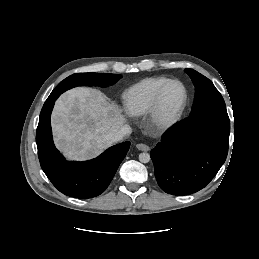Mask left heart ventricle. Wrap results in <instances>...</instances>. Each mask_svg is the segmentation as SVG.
<instances>
[{
    "label": "left heart ventricle",
    "instance_id": "left-heart-ventricle-1",
    "mask_svg": "<svg viewBox=\"0 0 259 259\" xmlns=\"http://www.w3.org/2000/svg\"><path fill=\"white\" fill-rule=\"evenodd\" d=\"M184 93L178 84H171L163 96V109L166 114L174 112L182 102Z\"/></svg>",
    "mask_w": 259,
    "mask_h": 259
}]
</instances>
